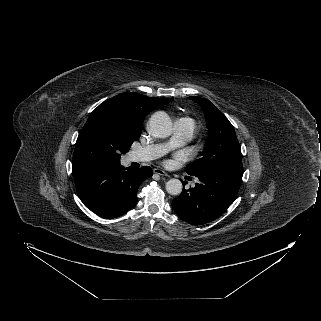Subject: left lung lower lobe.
<instances>
[{
	"label": "left lung lower lobe",
	"mask_w": 321,
	"mask_h": 321,
	"mask_svg": "<svg viewBox=\"0 0 321 321\" xmlns=\"http://www.w3.org/2000/svg\"><path fill=\"white\" fill-rule=\"evenodd\" d=\"M243 176V167L216 168L197 175L200 183L183 188L173 200L174 211L192 225L218 218L235 200Z\"/></svg>",
	"instance_id": "obj_1"
}]
</instances>
